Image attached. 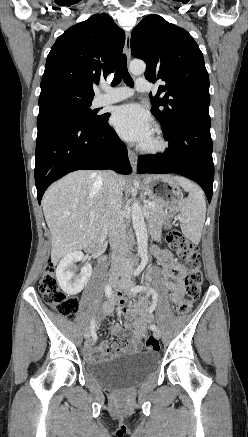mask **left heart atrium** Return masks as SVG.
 Listing matches in <instances>:
<instances>
[{"label": "left heart atrium", "mask_w": 248, "mask_h": 437, "mask_svg": "<svg viewBox=\"0 0 248 437\" xmlns=\"http://www.w3.org/2000/svg\"><path fill=\"white\" fill-rule=\"evenodd\" d=\"M111 123L121 137L138 143H144L153 133L149 115L138 104L117 107Z\"/></svg>", "instance_id": "left-heart-atrium-1"}]
</instances>
